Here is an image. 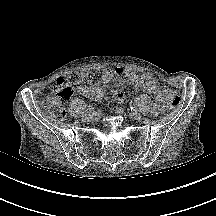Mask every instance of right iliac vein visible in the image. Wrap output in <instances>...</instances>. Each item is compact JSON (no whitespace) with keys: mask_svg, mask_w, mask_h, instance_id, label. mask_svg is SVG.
<instances>
[{"mask_svg":"<svg viewBox=\"0 0 216 216\" xmlns=\"http://www.w3.org/2000/svg\"><path fill=\"white\" fill-rule=\"evenodd\" d=\"M91 119H92V114H91V113H87V114H85V115L83 116V120H84L85 122H89V121H91Z\"/></svg>","mask_w":216,"mask_h":216,"instance_id":"1","label":"right iliac vein"}]
</instances>
